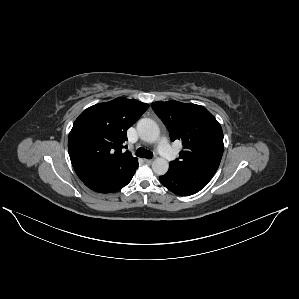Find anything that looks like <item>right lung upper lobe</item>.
I'll return each mask as SVG.
<instances>
[{"instance_id": "cb5924a9", "label": "right lung upper lobe", "mask_w": 299, "mask_h": 299, "mask_svg": "<svg viewBox=\"0 0 299 299\" xmlns=\"http://www.w3.org/2000/svg\"><path fill=\"white\" fill-rule=\"evenodd\" d=\"M148 109L137 100L117 98L84 110L68 137L72 166L82 181L137 164L129 151L123 152L126 132Z\"/></svg>"}]
</instances>
